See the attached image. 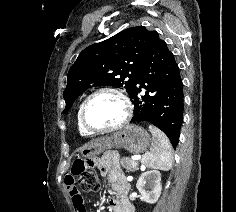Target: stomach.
I'll use <instances>...</instances> for the list:
<instances>
[{"label": "stomach", "mask_w": 236, "mask_h": 212, "mask_svg": "<svg viewBox=\"0 0 236 212\" xmlns=\"http://www.w3.org/2000/svg\"><path fill=\"white\" fill-rule=\"evenodd\" d=\"M150 136L145 129L137 125H127L112 136L99 138L80 148L84 158H95L114 147L126 149L132 153H142L150 145Z\"/></svg>", "instance_id": "0dacf381"}]
</instances>
